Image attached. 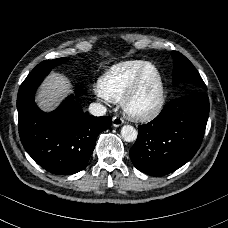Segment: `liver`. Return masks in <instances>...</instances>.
<instances>
[{
	"instance_id": "obj_1",
	"label": "liver",
	"mask_w": 228,
	"mask_h": 228,
	"mask_svg": "<svg viewBox=\"0 0 228 228\" xmlns=\"http://www.w3.org/2000/svg\"><path fill=\"white\" fill-rule=\"evenodd\" d=\"M71 86L65 75L53 71L39 87L35 100L43 111H52L72 92Z\"/></svg>"
}]
</instances>
